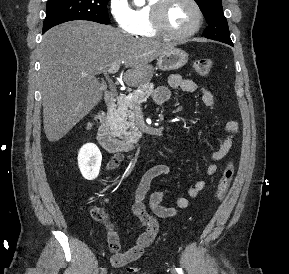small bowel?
Listing matches in <instances>:
<instances>
[{
	"instance_id": "small-bowel-1",
	"label": "small bowel",
	"mask_w": 289,
	"mask_h": 274,
	"mask_svg": "<svg viewBox=\"0 0 289 274\" xmlns=\"http://www.w3.org/2000/svg\"><path fill=\"white\" fill-rule=\"evenodd\" d=\"M170 88H177L182 91L193 93L199 92L202 102L213 108L215 99L213 94L206 88L198 85L190 79H184L180 75H171L168 81ZM170 98V90L168 87L160 86L156 89L154 100L157 103H165ZM226 136L223 139L220 147L211 154L213 163L206 167V174L214 176L218 172V166L215 162L224 158L231 150L234 140L239 132V124L236 121H229L225 125ZM123 161L121 154H115L106 164V170L116 169ZM170 169L165 164H157L149 168L141 178L134 195V203L132 205L133 214L139 219L142 233L137 238L134 245L126 251L120 250L119 237L115 232L108 234V246L112 252L111 264L114 267H123L131 262L139 259L145 249L149 247L157 236L159 230V218H169L177 215L180 210L187 209L190 206L189 198H195L207 186L205 180H198L193 185L188 187L187 195L178 196L175 200V207L165 206L162 204L165 197L168 195L167 189H161L151 194L148 205L144 203V198L150 189L154 179L168 175Z\"/></svg>"
}]
</instances>
